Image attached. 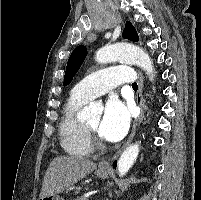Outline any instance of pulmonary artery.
<instances>
[{
	"mask_svg": "<svg viewBox=\"0 0 201 200\" xmlns=\"http://www.w3.org/2000/svg\"><path fill=\"white\" fill-rule=\"evenodd\" d=\"M135 79L136 76L129 66H114L88 75L75 85L72 94L86 100H92L121 83H134Z\"/></svg>",
	"mask_w": 201,
	"mask_h": 200,
	"instance_id": "e3ab8cb5",
	"label": "pulmonary artery"
}]
</instances>
